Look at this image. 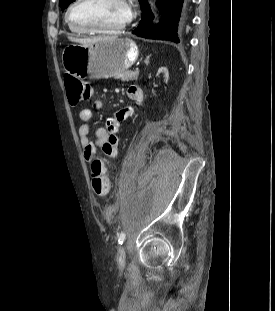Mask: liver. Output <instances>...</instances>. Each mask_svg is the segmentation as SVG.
I'll list each match as a JSON object with an SVG mask.
<instances>
[{"instance_id":"liver-1","label":"liver","mask_w":275,"mask_h":311,"mask_svg":"<svg viewBox=\"0 0 275 311\" xmlns=\"http://www.w3.org/2000/svg\"><path fill=\"white\" fill-rule=\"evenodd\" d=\"M117 37H94V38H88V39H75V38H71V40L78 42L80 44H84V45H89L92 43H95L97 41H102V40H113L116 39Z\"/></svg>"}]
</instances>
